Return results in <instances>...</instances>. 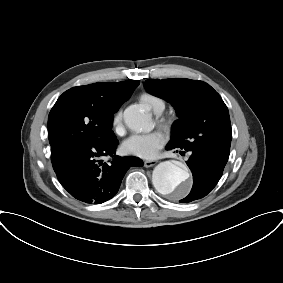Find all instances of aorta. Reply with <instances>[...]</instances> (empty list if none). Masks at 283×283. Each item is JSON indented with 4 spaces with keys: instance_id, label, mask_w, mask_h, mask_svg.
<instances>
[{
    "instance_id": "762f6f07",
    "label": "aorta",
    "mask_w": 283,
    "mask_h": 283,
    "mask_svg": "<svg viewBox=\"0 0 283 283\" xmlns=\"http://www.w3.org/2000/svg\"><path fill=\"white\" fill-rule=\"evenodd\" d=\"M126 125L134 131L150 130L151 116L138 106H129L124 111ZM189 172L186 168L171 161L159 163L153 171L152 182L162 195L175 198L185 196L190 189Z\"/></svg>"
}]
</instances>
